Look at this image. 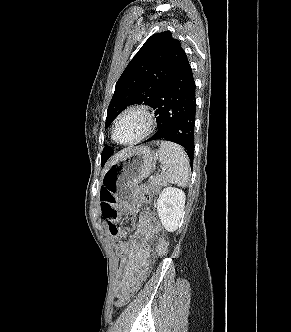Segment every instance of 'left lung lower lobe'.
I'll list each match as a JSON object with an SVG mask.
<instances>
[{
  "mask_svg": "<svg viewBox=\"0 0 291 332\" xmlns=\"http://www.w3.org/2000/svg\"><path fill=\"white\" fill-rule=\"evenodd\" d=\"M196 85L191 66L184 53L174 74L161 91L153 109L158 131L147 141L167 139L186 149L190 161L194 156Z\"/></svg>",
  "mask_w": 291,
  "mask_h": 332,
  "instance_id": "left-lung-lower-lobe-1",
  "label": "left lung lower lobe"
}]
</instances>
